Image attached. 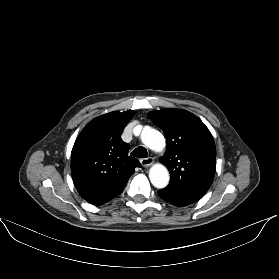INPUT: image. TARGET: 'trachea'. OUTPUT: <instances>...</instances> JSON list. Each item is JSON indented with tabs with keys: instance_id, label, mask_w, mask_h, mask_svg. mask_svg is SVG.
Masks as SVG:
<instances>
[{
	"instance_id": "obj_1",
	"label": "trachea",
	"mask_w": 279,
	"mask_h": 279,
	"mask_svg": "<svg viewBox=\"0 0 279 279\" xmlns=\"http://www.w3.org/2000/svg\"><path fill=\"white\" fill-rule=\"evenodd\" d=\"M131 156H134L137 158H147L148 153H147V150L145 147L139 146L132 151Z\"/></svg>"
}]
</instances>
